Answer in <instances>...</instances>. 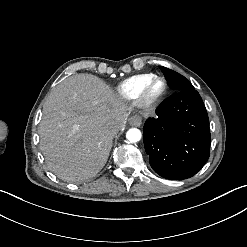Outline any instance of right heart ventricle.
I'll list each match as a JSON object with an SVG mask.
<instances>
[{
    "label": "right heart ventricle",
    "mask_w": 247,
    "mask_h": 247,
    "mask_svg": "<svg viewBox=\"0 0 247 247\" xmlns=\"http://www.w3.org/2000/svg\"><path fill=\"white\" fill-rule=\"evenodd\" d=\"M155 74H141L132 76L122 81L115 90V96L119 104L121 101H135L138 98L141 86L150 78L155 77Z\"/></svg>",
    "instance_id": "e07e8e85"
}]
</instances>
